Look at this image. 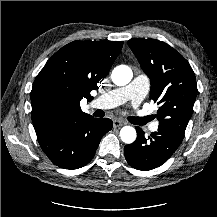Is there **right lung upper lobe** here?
<instances>
[{"mask_svg": "<svg viewBox=\"0 0 217 217\" xmlns=\"http://www.w3.org/2000/svg\"><path fill=\"white\" fill-rule=\"evenodd\" d=\"M123 42L74 41L58 50L37 75L32 91V122L36 134L74 123L89 116L80 100H92L90 92L106 77ZM56 102V112L44 110L45 101Z\"/></svg>", "mask_w": 217, "mask_h": 217, "instance_id": "1", "label": "right lung upper lobe"}]
</instances>
